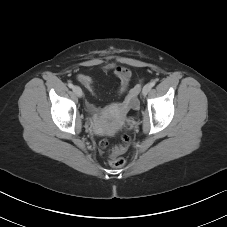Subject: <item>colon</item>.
Returning <instances> with one entry per match:
<instances>
[{"mask_svg":"<svg viewBox=\"0 0 227 227\" xmlns=\"http://www.w3.org/2000/svg\"><path fill=\"white\" fill-rule=\"evenodd\" d=\"M131 141V136L129 133H125L122 135V142L120 145L114 147L111 151V157H110V160H109V164L112 166V167H115V168H120L122 166L125 165L126 161L123 157H121L120 155L122 153H124L128 147V144L130 143ZM100 146L102 148H106L108 146V142L106 140H102L100 142Z\"/></svg>","mask_w":227,"mask_h":227,"instance_id":"colon-1","label":"colon"}]
</instances>
